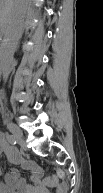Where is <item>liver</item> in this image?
<instances>
[{
  "label": "liver",
  "instance_id": "6515ba94",
  "mask_svg": "<svg viewBox=\"0 0 103 193\" xmlns=\"http://www.w3.org/2000/svg\"><path fill=\"white\" fill-rule=\"evenodd\" d=\"M24 0H0V28L6 38L16 14L23 8Z\"/></svg>",
  "mask_w": 103,
  "mask_h": 193
}]
</instances>
